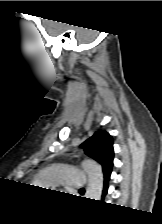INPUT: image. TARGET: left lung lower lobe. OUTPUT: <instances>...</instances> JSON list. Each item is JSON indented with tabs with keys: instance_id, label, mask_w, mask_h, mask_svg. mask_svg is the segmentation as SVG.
Wrapping results in <instances>:
<instances>
[{
	"instance_id": "obj_1",
	"label": "left lung lower lobe",
	"mask_w": 162,
	"mask_h": 224,
	"mask_svg": "<svg viewBox=\"0 0 162 224\" xmlns=\"http://www.w3.org/2000/svg\"><path fill=\"white\" fill-rule=\"evenodd\" d=\"M110 174L111 172L104 174V189H103V196L106 195L107 190H108V181L110 179Z\"/></svg>"
}]
</instances>
